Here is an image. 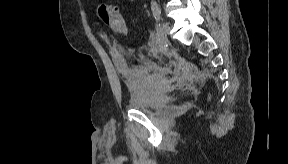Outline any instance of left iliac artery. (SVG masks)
<instances>
[{
	"instance_id": "44dca946",
	"label": "left iliac artery",
	"mask_w": 288,
	"mask_h": 164,
	"mask_svg": "<svg viewBox=\"0 0 288 164\" xmlns=\"http://www.w3.org/2000/svg\"><path fill=\"white\" fill-rule=\"evenodd\" d=\"M151 9H152L153 16H154V18L156 20V26L158 27V26H160V23H161V10H160V7L154 1L151 4Z\"/></svg>"
}]
</instances>
